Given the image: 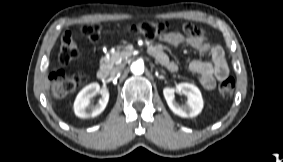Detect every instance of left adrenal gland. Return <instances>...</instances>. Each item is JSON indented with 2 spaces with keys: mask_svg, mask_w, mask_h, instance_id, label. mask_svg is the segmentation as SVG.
Returning <instances> with one entry per match:
<instances>
[{
  "mask_svg": "<svg viewBox=\"0 0 283 162\" xmlns=\"http://www.w3.org/2000/svg\"><path fill=\"white\" fill-rule=\"evenodd\" d=\"M161 73H165L163 70H161Z\"/></svg>",
  "mask_w": 283,
  "mask_h": 162,
  "instance_id": "left-adrenal-gland-1",
  "label": "left adrenal gland"
}]
</instances>
